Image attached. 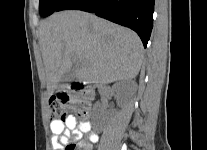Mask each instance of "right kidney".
<instances>
[{"instance_id":"right-kidney-1","label":"right kidney","mask_w":207,"mask_h":150,"mask_svg":"<svg viewBox=\"0 0 207 150\" xmlns=\"http://www.w3.org/2000/svg\"><path fill=\"white\" fill-rule=\"evenodd\" d=\"M119 90H120L119 86L116 85V86L114 87V89H113V92H114V93H119Z\"/></svg>"}]
</instances>
